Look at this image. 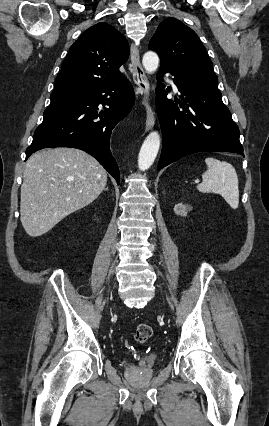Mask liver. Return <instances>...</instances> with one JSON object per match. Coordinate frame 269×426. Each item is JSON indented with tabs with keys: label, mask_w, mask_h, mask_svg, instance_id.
<instances>
[{
	"label": "liver",
	"mask_w": 269,
	"mask_h": 426,
	"mask_svg": "<svg viewBox=\"0 0 269 426\" xmlns=\"http://www.w3.org/2000/svg\"><path fill=\"white\" fill-rule=\"evenodd\" d=\"M107 184L106 170L74 148L44 149L27 161L20 220L31 237L41 236L71 213L92 203Z\"/></svg>",
	"instance_id": "6515ba94"
}]
</instances>
